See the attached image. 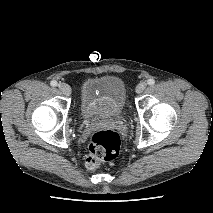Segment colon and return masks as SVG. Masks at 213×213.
<instances>
[{
  "label": "colon",
  "instance_id": "1",
  "mask_svg": "<svg viewBox=\"0 0 213 213\" xmlns=\"http://www.w3.org/2000/svg\"><path fill=\"white\" fill-rule=\"evenodd\" d=\"M121 139L113 130H100L92 134L89 141V154L86 168L95 170L101 162L114 160L120 151Z\"/></svg>",
  "mask_w": 213,
  "mask_h": 213
}]
</instances>
